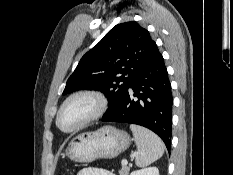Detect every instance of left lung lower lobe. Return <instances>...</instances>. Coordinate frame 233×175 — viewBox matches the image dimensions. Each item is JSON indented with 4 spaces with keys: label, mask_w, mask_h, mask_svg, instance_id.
<instances>
[{
    "label": "left lung lower lobe",
    "mask_w": 233,
    "mask_h": 175,
    "mask_svg": "<svg viewBox=\"0 0 233 175\" xmlns=\"http://www.w3.org/2000/svg\"><path fill=\"white\" fill-rule=\"evenodd\" d=\"M172 104L168 72L156 47L136 74L119 107L102 121L144 126L155 132L170 150Z\"/></svg>",
    "instance_id": "obj_1"
}]
</instances>
